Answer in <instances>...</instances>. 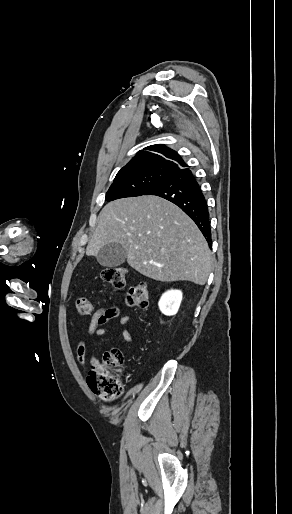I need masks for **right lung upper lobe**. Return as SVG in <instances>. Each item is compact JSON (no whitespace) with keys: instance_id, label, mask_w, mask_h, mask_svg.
Listing matches in <instances>:
<instances>
[{"instance_id":"1","label":"right lung upper lobe","mask_w":292,"mask_h":514,"mask_svg":"<svg viewBox=\"0 0 292 514\" xmlns=\"http://www.w3.org/2000/svg\"><path fill=\"white\" fill-rule=\"evenodd\" d=\"M137 152L131 161L117 175L141 172H165L170 175L184 171L187 164L177 152L165 145H151Z\"/></svg>"}]
</instances>
